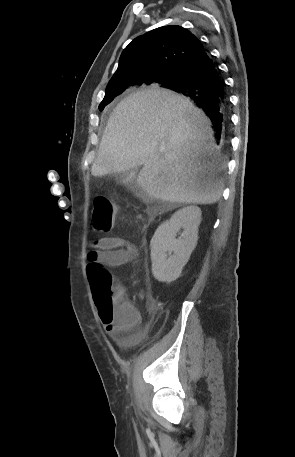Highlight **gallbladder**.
<instances>
[{
	"instance_id": "bac80fb5",
	"label": "gallbladder",
	"mask_w": 295,
	"mask_h": 457,
	"mask_svg": "<svg viewBox=\"0 0 295 457\" xmlns=\"http://www.w3.org/2000/svg\"><path fill=\"white\" fill-rule=\"evenodd\" d=\"M134 170H136V168H135ZM115 180H116L117 182H120V181L125 180V177H124L123 174H117V175H115Z\"/></svg>"
}]
</instances>
